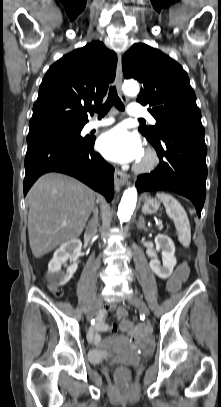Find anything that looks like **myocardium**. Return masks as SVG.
<instances>
[{"instance_id": "obj_1", "label": "myocardium", "mask_w": 221, "mask_h": 407, "mask_svg": "<svg viewBox=\"0 0 221 407\" xmlns=\"http://www.w3.org/2000/svg\"><path fill=\"white\" fill-rule=\"evenodd\" d=\"M159 164V156L157 152L148 148L145 150L140 161L135 165V171L139 173H148L156 169Z\"/></svg>"}]
</instances>
